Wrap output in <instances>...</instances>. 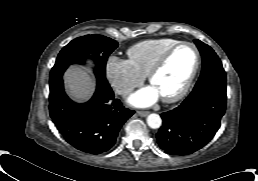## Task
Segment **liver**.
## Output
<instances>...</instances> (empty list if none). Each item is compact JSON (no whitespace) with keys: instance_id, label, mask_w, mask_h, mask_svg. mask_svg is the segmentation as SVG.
<instances>
[{"instance_id":"6515ba94","label":"liver","mask_w":258,"mask_h":181,"mask_svg":"<svg viewBox=\"0 0 258 181\" xmlns=\"http://www.w3.org/2000/svg\"><path fill=\"white\" fill-rule=\"evenodd\" d=\"M68 95L79 102L88 100L95 88V81L90 74L77 66L70 67L64 75Z\"/></svg>"}]
</instances>
